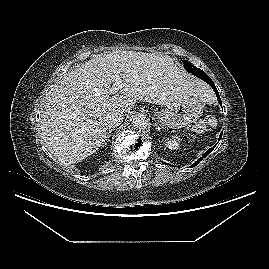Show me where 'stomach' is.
Wrapping results in <instances>:
<instances>
[{
  "label": "stomach",
  "instance_id": "1",
  "mask_svg": "<svg viewBox=\"0 0 269 269\" xmlns=\"http://www.w3.org/2000/svg\"><path fill=\"white\" fill-rule=\"evenodd\" d=\"M204 102L195 96H185L170 103L165 109L155 112L163 127L180 129L195 122L202 115Z\"/></svg>",
  "mask_w": 269,
  "mask_h": 269
}]
</instances>
